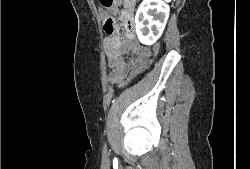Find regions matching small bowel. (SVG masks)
<instances>
[{
	"mask_svg": "<svg viewBox=\"0 0 250 169\" xmlns=\"http://www.w3.org/2000/svg\"><path fill=\"white\" fill-rule=\"evenodd\" d=\"M116 14L117 8L114 7L111 14L106 16V22L108 20H113L115 22ZM123 21L126 31L124 40L121 41L118 37H108L104 42L110 68L109 78L119 87L121 83H127L124 81L125 72H131V67L138 66L150 55L148 50L139 47L137 42L130 38L128 34L132 27V18L129 12L123 14ZM129 53H132V58H127Z\"/></svg>",
	"mask_w": 250,
	"mask_h": 169,
	"instance_id": "1",
	"label": "small bowel"
}]
</instances>
